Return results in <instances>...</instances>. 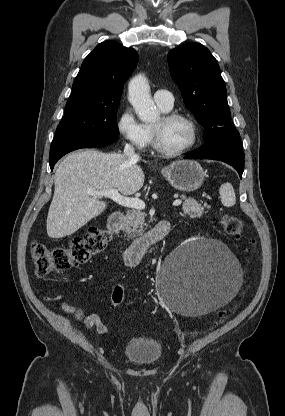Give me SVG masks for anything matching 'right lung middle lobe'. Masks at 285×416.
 I'll return each instance as SVG.
<instances>
[{"label":"right lung middle lobe","instance_id":"1","mask_svg":"<svg viewBox=\"0 0 285 416\" xmlns=\"http://www.w3.org/2000/svg\"><path fill=\"white\" fill-rule=\"evenodd\" d=\"M119 99L88 101L70 98L57 126L55 137L69 135L119 136L117 110Z\"/></svg>","mask_w":285,"mask_h":416}]
</instances>
